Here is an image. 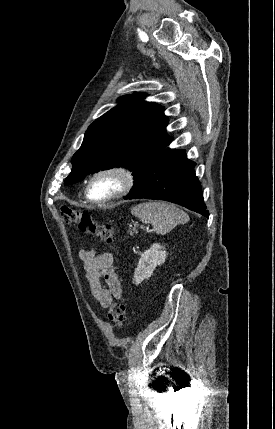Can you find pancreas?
Returning <instances> with one entry per match:
<instances>
[{"mask_svg":"<svg viewBox=\"0 0 275 429\" xmlns=\"http://www.w3.org/2000/svg\"><path fill=\"white\" fill-rule=\"evenodd\" d=\"M129 233H130V235L132 236L134 233H135V234H137V233H138V231H137L136 229H133V230H131Z\"/></svg>","mask_w":275,"mask_h":429,"instance_id":"1","label":"pancreas"}]
</instances>
